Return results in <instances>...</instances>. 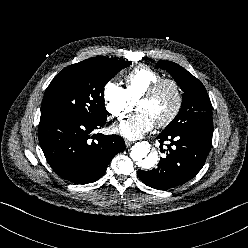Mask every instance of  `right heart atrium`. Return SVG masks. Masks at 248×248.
<instances>
[{
    "mask_svg": "<svg viewBox=\"0 0 248 248\" xmlns=\"http://www.w3.org/2000/svg\"><path fill=\"white\" fill-rule=\"evenodd\" d=\"M103 98L107 111L112 117L117 119L123 118L134 106L126 91L113 82L105 85Z\"/></svg>",
    "mask_w": 248,
    "mask_h": 248,
    "instance_id": "obj_1",
    "label": "right heart atrium"
}]
</instances>
